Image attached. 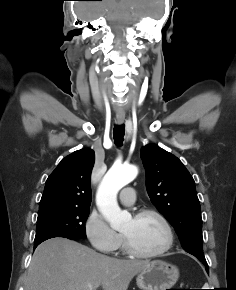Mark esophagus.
I'll list each match as a JSON object with an SVG mask.
<instances>
[{
  "mask_svg": "<svg viewBox=\"0 0 236 290\" xmlns=\"http://www.w3.org/2000/svg\"><path fill=\"white\" fill-rule=\"evenodd\" d=\"M124 120H125V114H123V113L116 114V123L117 124H119V125L123 124Z\"/></svg>",
  "mask_w": 236,
  "mask_h": 290,
  "instance_id": "34e87169",
  "label": "esophagus"
}]
</instances>
